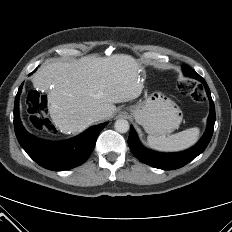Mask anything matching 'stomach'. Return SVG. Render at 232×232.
<instances>
[{"instance_id":"1","label":"stomach","mask_w":232,"mask_h":232,"mask_svg":"<svg viewBox=\"0 0 232 232\" xmlns=\"http://www.w3.org/2000/svg\"><path fill=\"white\" fill-rule=\"evenodd\" d=\"M126 110L148 134L154 136L172 133L183 117L176 103L160 92L146 96L144 101L128 106Z\"/></svg>"}]
</instances>
